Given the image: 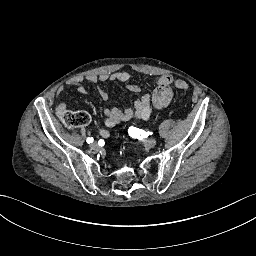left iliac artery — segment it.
Instances as JSON below:
<instances>
[{
  "label": "left iliac artery",
  "mask_w": 256,
  "mask_h": 256,
  "mask_svg": "<svg viewBox=\"0 0 256 256\" xmlns=\"http://www.w3.org/2000/svg\"><path fill=\"white\" fill-rule=\"evenodd\" d=\"M128 133L131 137H135L139 140L147 137L149 134L151 135L152 132H145L144 130H141V129H138L136 127H133L131 126L129 129H128Z\"/></svg>",
  "instance_id": "1"
}]
</instances>
